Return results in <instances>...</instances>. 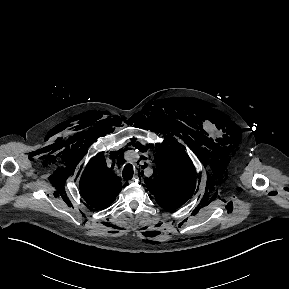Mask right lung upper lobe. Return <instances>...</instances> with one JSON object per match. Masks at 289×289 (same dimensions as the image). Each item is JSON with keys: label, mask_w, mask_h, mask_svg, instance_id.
Returning a JSON list of instances; mask_svg holds the SVG:
<instances>
[{"label": "right lung upper lobe", "mask_w": 289, "mask_h": 289, "mask_svg": "<svg viewBox=\"0 0 289 289\" xmlns=\"http://www.w3.org/2000/svg\"><path fill=\"white\" fill-rule=\"evenodd\" d=\"M121 189L120 179L105 166L102 153L93 158L80 179V190L90 210L108 207Z\"/></svg>", "instance_id": "right-lung-upper-lobe-1"}]
</instances>
